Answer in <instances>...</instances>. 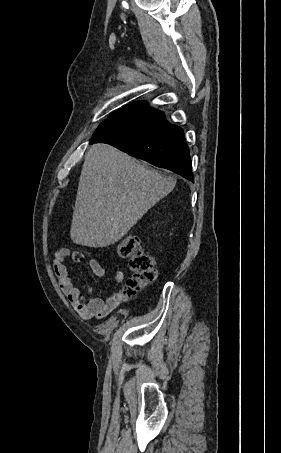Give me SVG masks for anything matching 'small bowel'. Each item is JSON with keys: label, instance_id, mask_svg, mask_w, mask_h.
<instances>
[{"label": "small bowel", "instance_id": "small-bowel-1", "mask_svg": "<svg viewBox=\"0 0 281 453\" xmlns=\"http://www.w3.org/2000/svg\"><path fill=\"white\" fill-rule=\"evenodd\" d=\"M69 256L70 251L63 248L53 259V268L59 279L61 289L68 295L70 301L73 302L78 308L84 319L90 320L109 315L124 300L127 291L125 286V272L121 269H117L115 271L114 280L118 285V290L108 299H90L86 304H83L80 288L74 285L68 275L65 261ZM88 265L94 276L98 278L106 277V270L97 259H90Z\"/></svg>", "mask_w": 281, "mask_h": 453}]
</instances>
